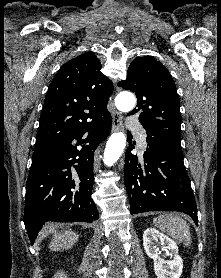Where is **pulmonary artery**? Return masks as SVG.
<instances>
[{"instance_id": "pulmonary-artery-1", "label": "pulmonary artery", "mask_w": 221, "mask_h": 278, "mask_svg": "<svg viewBox=\"0 0 221 278\" xmlns=\"http://www.w3.org/2000/svg\"><path fill=\"white\" fill-rule=\"evenodd\" d=\"M127 124L130 129H134L138 132V144L142 150H145L147 146L146 134L143 130L139 128V122L131 117L129 118Z\"/></svg>"}]
</instances>
